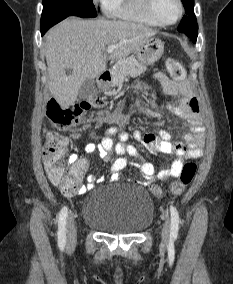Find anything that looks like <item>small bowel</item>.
<instances>
[{
    "instance_id": "small-bowel-1",
    "label": "small bowel",
    "mask_w": 233,
    "mask_h": 284,
    "mask_svg": "<svg viewBox=\"0 0 233 284\" xmlns=\"http://www.w3.org/2000/svg\"><path fill=\"white\" fill-rule=\"evenodd\" d=\"M155 78L167 95L179 98L176 105H169L168 108L175 115L187 121L189 133L184 135L185 143L172 142L171 135L166 130H160L158 135L151 133L143 134L140 131L133 133L135 140L144 143L152 151L163 154H173L177 157L169 168L160 172H156L152 163L142 160L139 170L143 176L141 184L145 186L154 181L165 182L170 178L178 177L182 171L184 160L196 159L203 155L205 138V128L200 114L199 102L190 85L183 80L176 81L169 79L162 72L156 73ZM138 110L146 115H158L144 107H138ZM79 135V132H74L72 137L77 139ZM114 138H117V141H114ZM129 138L130 135L128 132L121 131L117 127H110L107 129L100 143L97 145L88 144L85 151L90 154L97 150L101 159L111 163V178L112 180H117L119 172L128 165L126 155L139 156L136 147L128 143ZM113 154L118 155V157L113 159ZM68 162L71 170L79 171L82 175H84L89 168V161L85 158H79L75 154L69 156ZM44 167L48 179L56 186L52 169L45 160ZM103 180V177L97 178L94 175H89L87 177V184L80 187L78 193H86L93 189L96 183L102 182Z\"/></svg>"
}]
</instances>
